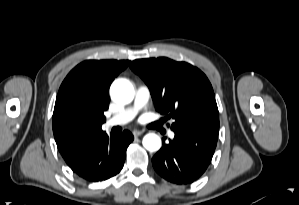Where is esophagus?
Segmentation results:
<instances>
[{
    "mask_svg": "<svg viewBox=\"0 0 299 205\" xmlns=\"http://www.w3.org/2000/svg\"><path fill=\"white\" fill-rule=\"evenodd\" d=\"M143 134V131H139V130H134L133 131V135H134V137H138V136H140V135H142Z\"/></svg>",
    "mask_w": 299,
    "mask_h": 205,
    "instance_id": "obj_1",
    "label": "esophagus"
}]
</instances>
